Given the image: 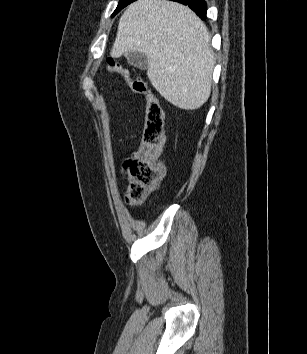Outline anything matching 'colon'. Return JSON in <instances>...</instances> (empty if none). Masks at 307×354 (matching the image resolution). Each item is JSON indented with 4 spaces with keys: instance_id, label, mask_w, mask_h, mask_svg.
<instances>
[{
    "instance_id": "1",
    "label": "colon",
    "mask_w": 307,
    "mask_h": 354,
    "mask_svg": "<svg viewBox=\"0 0 307 354\" xmlns=\"http://www.w3.org/2000/svg\"><path fill=\"white\" fill-rule=\"evenodd\" d=\"M107 69L117 74L135 93L145 99L143 148L133 154L124 164L125 172L130 180L125 199L129 205L138 206L147 200L164 176V167L159 161L164 143V111L141 77L133 76L128 68L111 59L107 61Z\"/></svg>"
}]
</instances>
